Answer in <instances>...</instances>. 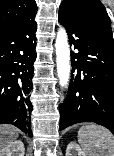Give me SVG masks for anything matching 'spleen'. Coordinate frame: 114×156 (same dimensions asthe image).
<instances>
[{"mask_svg":"<svg viewBox=\"0 0 114 156\" xmlns=\"http://www.w3.org/2000/svg\"><path fill=\"white\" fill-rule=\"evenodd\" d=\"M78 142L86 156H114V136L96 124H86L78 131Z\"/></svg>","mask_w":114,"mask_h":156,"instance_id":"spleen-1","label":"spleen"}]
</instances>
